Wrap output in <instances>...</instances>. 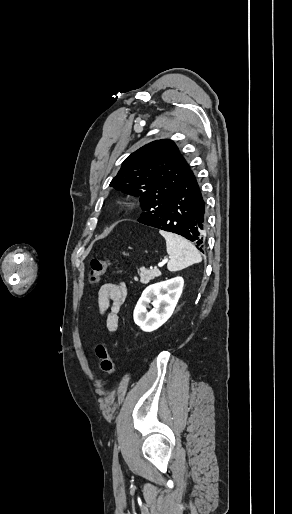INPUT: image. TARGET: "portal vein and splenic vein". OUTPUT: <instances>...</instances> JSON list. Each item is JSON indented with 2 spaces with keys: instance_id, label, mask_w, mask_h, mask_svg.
I'll list each match as a JSON object with an SVG mask.
<instances>
[{
  "instance_id": "portal-vein-and-splenic-vein-1",
  "label": "portal vein and splenic vein",
  "mask_w": 292,
  "mask_h": 514,
  "mask_svg": "<svg viewBox=\"0 0 292 514\" xmlns=\"http://www.w3.org/2000/svg\"><path fill=\"white\" fill-rule=\"evenodd\" d=\"M167 260H163V262H160V264H158L159 268H162V266H164V264H166ZM159 272V270H158Z\"/></svg>"
}]
</instances>
